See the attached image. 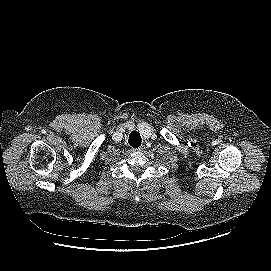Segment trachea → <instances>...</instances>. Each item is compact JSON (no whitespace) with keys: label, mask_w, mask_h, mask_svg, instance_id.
<instances>
[{"label":"trachea","mask_w":271,"mask_h":271,"mask_svg":"<svg viewBox=\"0 0 271 271\" xmlns=\"http://www.w3.org/2000/svg\"><path fill=\"white\" fill-rule=\"evenodd\" d=\"M141 136L137 131H133L129 135L128 143L131 147L137 148L141 146Z\"/></svg>","instance_id":"3493384b"}]
</instances>
